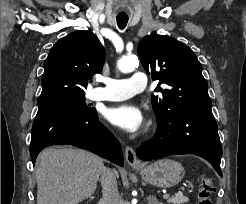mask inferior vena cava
Wrapping results in <instances>:
<instances>
[{
  "label": "inferior vena cava",
  "instance_id": "602c4592",
  "mask_svg": "<svg viewBox=\"0 0 246 204\" xmlns=\"http://www.w3.org/2000/svg\"><path fill=\"white\" fill-rule=\"evenodd\" d=\"M100 181L103 193L101 204H120L115 171L105 168L101 174Z\"/></svg>",
  "mask_w": 246,
  "mask_h": 204
}]
</instances>
